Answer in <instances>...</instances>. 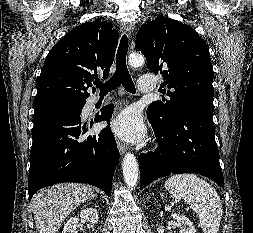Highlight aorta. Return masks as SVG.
<instances>
[{"label": "aorta", "instance_id": "1", "mask_svg": "<svg viewBox=\"0 0 253 233\" xmlns=\"http://www.w3.org/2000/svg\"><path fill=\"white\" fill-rule=\"evenodd\" d=\"M129 64L131 67H140L144 64V57L139 54H132L129 57ZM123 176L125 183L129 188H133L137 185L139 177V168L136 157L132 153H126L123 163Z\"/></svg>", "mask_w": 253, "mask_h": 233}]
</instances>
